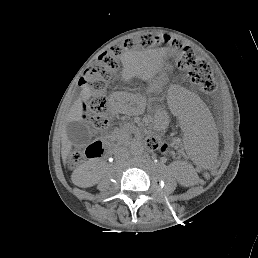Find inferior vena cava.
Instances as JSON below:
<instances>
[{"mask_svg": "<svg viewBox=\"0 0 258 258\" xmlns=\"http://www.w3.org/2000/svg\"><path fill=\"white\" fill-rule=\"evenodd\" d=\"M120 152L122 153V152H124V150H120Z\"/></svg>", "mask_w": 258, "mask_h": 258, "instance_id": "602c4592", "label": "inferior vena cava"}]
</instances>
